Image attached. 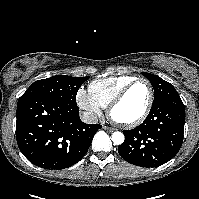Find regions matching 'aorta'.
<instances>
[{
	"label": "aorta",
	"mask_w": 199,
	"mask_h": 199,
	"mask_svg": "<svg viewBox=\"0 0 199 199\" xmlns=\"http://www.w3.org/2000/svg\"><path fill=\"white\" fill-rule=\"evenodd\" d=\"M124 134L121 132H114L112 134V141L116 145H120L124 142Z\"/></svg>",
	"instance_id": "obj_1"
}]
</instances>
